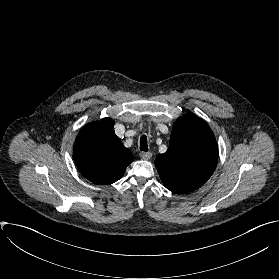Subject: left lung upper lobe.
<instances>
[{"mask_svg":"<svg viewBox=\"0 0 279 279\" xmlns=\"http://www.w3.org/2000/svg\"><path fill=\"white\" fill-rule=\"evenodd\" d=\"M218 161V146L207 123L194 114L175 122L168 150L159 154L155 166L164 186L185 194L205 184Z\"/></svg>","mask_w":279,"mask_h":279,"instance_id":"obj_1","label":"left lung upper lobe"}]
</instances>
